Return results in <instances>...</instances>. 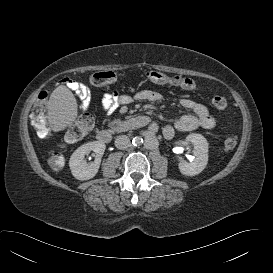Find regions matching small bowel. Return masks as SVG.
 Returning <instances> with one entry per match:
<instances>
[{
  "instance_id": "small-bowel-1",
  "label": "small bowel",
  "mask_w": 273,
  "mask_h": 273,
  "mask_svg": "<svg viewBox=\"0 0 273 273\" xmlns=\"http://www.w3.org/2000/svg\"><path fill=\"white\" fill-rule=\"evenodd\" d=\"M71 90H73L82 101V109L88 107L91 100L89 88L76 80L65 78L63 80ZM186 90H193L183 88ZM134 99L139 101L160 102L163 99L162 94L155 90H142L134 97L127 94H105L101 98L100 105L103 111L111 112L119 105L130 104ZM179 103L182 107L189 109L193 114L179 116L174 125L166 124L162 128V134L165 139L170 140L175 135V130L180 132H189L199 128L212 129L215 126V119L210 115L208 109L203 104L189 98H181Z\"/></svg>"
}]
</instances>
